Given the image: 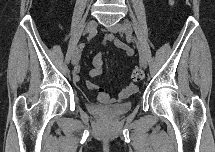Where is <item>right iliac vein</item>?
Returning <instances> with one entry per match:
<instances>
[{
    "instance_id": "right-iliac-vein-1",
    "label": "right iliac vein",
    "mask_w": 215,
    "mask_h": 152,
    "mask_svg": "<svg viewBox=\"0 0 215 152\" xmlns=\"http://www.w3.org/2000/svg\"><path fill=\"white\" fill-rule=\"evenodd\" d=\"M96 28H97V22L95 20H91L88 22L85 32L86 33L94 32L96 30ZM79 60H80V49L77 48L74 51L73 56H72V65L73 66L77 65Z\"/></svg>"
}]
</instances>
